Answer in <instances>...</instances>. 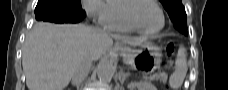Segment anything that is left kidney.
I'll list each match as a JSON object with an SVG mask.
<instances>
[{"instance_id": "5707ae66", "label": "left kidney", "mask_w": 228, "mask_h": 90, "mask_svg": "<svg viewBox=\"0 0 228 90\" xmlns=\"http://www.w3.org/2000/svg\"><path fill=\"white\" fill-rule=\"evenodd\" d=\"M136 87L138 90H157V88L149 82H135L128 85L130 90H134Z\"/></svg>"}]
</instances>
